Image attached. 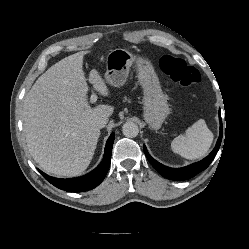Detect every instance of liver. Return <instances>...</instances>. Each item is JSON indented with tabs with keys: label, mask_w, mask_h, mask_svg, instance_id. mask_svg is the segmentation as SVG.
I'll return each mask as SVG.
<instances>
[{
	"label": "liver",
	"mask_w": 249,
	"mask_h": 249,
	"mask_svg": "<svg viewBox=\"0 0 249 249\" xmlns=\"http://www.w3.org/2000/svg\"><path fill=\"white\" fill-rule=\"evenodd\" d=\"M85 54L75 53L51 66L24 99L22 117L28 150L45 172L59 177L78 176L86 170L100 136L95 122L114 111L109 105H89ZM89 81L101 95H109L96 69L90 72Z\"/></svg>",
	"instance_id": "1"
}]
</instances>
